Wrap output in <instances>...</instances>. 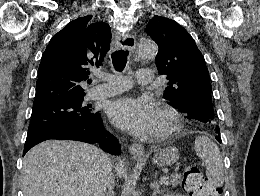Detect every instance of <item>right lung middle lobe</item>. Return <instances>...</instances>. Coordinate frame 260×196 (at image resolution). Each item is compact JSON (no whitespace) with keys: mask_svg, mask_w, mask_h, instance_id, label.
Segmentation results:
<instances>
[{"mask_svg":"<svg viewBox=\"0 0 260 196\" xmlns=\"http://www.w3.org/2000/svg\"><path fill=\"white\" fill-rule=\"evenodd\" d=\"M85 94L65 95L33 105L26 142L92 121L95 113L82 105Z\"/></svg>","mask_w":260,"mask_h":196,"instance_id":"obj_1","label":"right lung middle lobe"}]
</instances>
